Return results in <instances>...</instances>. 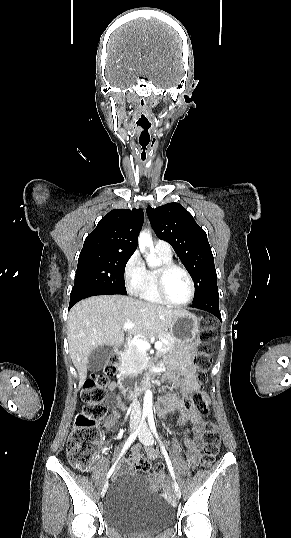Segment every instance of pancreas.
Listing matches in <instances>:
<instances>
[{
	"label": "pancreas",
	"mask_w": 291,
	"mask_h": 538,
	"mask_svg": "<svg viewBox=\"0 0 291 538\" xmlns=\"http://www.w3.org/2000/svg\"><path fill=\"white\" fill-rule=\"evenodd\" d=\"M157 337L159 340H168V344H162V347L158 349V354H165L173 348L175 340L170 333L162 332L159 333ZM122 361L126 364L128 363L133 373H140L148 363L147 353L146 351L138 349L135 344H132L130 348L123 353Z\"/></svg>",
	"instance_id": "obj_1"
}]
</instances>
